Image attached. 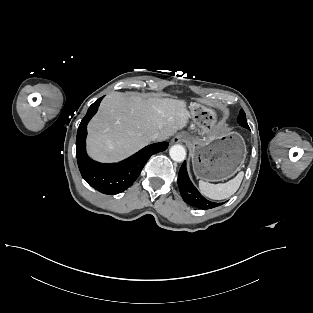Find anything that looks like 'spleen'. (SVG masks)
Here are the masks:
<instances>
[{"label": "spleen", "mask_w": 313, "mask_h": 313, "mask_svg": "<svg viewBox=\"0 0 313 313\" xmlns=\"http://www.w3.org/2000/svg\"><path fill=\"white\" fill-rule=\"evenodd\" d=\"M244 177V172H239L235 178L220 184H211L203 180L199 181L200 192L213 200H223L232 196L239 188L242 179Z\"/></svg>", "instance_id": "3e777b00"}]
</instances>
